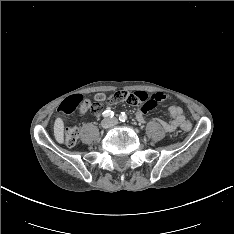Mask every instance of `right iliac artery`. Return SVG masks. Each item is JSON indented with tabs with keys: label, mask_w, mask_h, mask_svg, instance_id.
I'll return each mask as SVG.
<instances>
[{
	"label": "right iliac artery",
	"mask_w": 234,
	"mask_h": 234,
	"mask_svg": "<svg viewBox=\"0 0 234 234\" xmlns=\"http://www.w3.org/2000/svg\"><path fill=\"white\" fill-rule=\"evenodd\" d=\"M114 116V112L110 111V110H105L103 112V117L105 118H112Z\"/></svg>",
	"instance_id": "obj_1"
}]
</instances>
